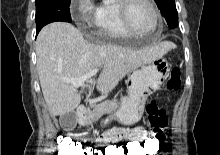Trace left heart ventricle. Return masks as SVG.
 Listing matches in <instances>:
<instances>
[{
  "label": "left heart ventricle",
  "instance_id": "1",
  "mask_svg": "<svg viewBox=\"0 0 220 155\" xmlns=\"http://www.w3.org/2000/svg\"><path fill=\"white\" fill-rule=\"evenodd\" d=\"M130 21L135 29L150 32L155 26V20L149 6L142 2H134L129 11Z\"/></svg>",
  "mask_w": 220,
  "mask_h": 155
}]
</instances>
